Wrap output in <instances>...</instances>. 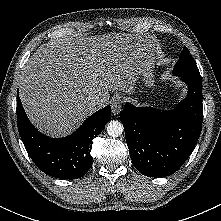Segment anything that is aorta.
<instances>
[{"label":"aorta","instance_id":"aorta-1","mask_svg":"<svg viewBox=\"0 0 221 221\" xmlns=\"http://www.w3.org/2000/svg\"><path fill=\"white\" fill-rule=\"evenodd\" d=\"M123 125L117 120H112L107 124L106 131L111 137H119L123 133Z\"/></svg>","mask_w":221,"mask_h":221}]
</instances>
